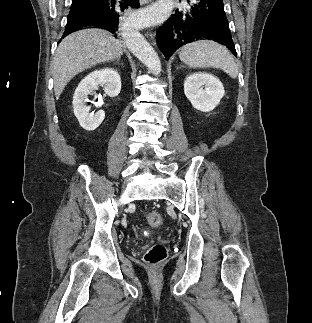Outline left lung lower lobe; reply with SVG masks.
<instances>
[{"label": "left lung lower lobe", "instance_id": "1", "mask_svg": "<svg viewBox=\"0 0 312 323\" xmlns=\"http://www.w3.org/2000/svg\"><path fill=\"white\" fill-rule=\"evenodd\" d=\"M156 37L166 59L180 46L199 39L217 41L236 55L223 0H194L183 11L176 10Z\"/></svg>", "mask_w": 312, "mask_h": 323}]
</instances>
